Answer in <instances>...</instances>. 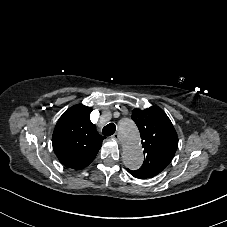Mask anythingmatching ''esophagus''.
<instances>
[{
  "label": "esophagus",
  "mask_w": 227,
  "mask_h": 227,
  "mask_svg": "<svg viewBox=\"0 0 227 227\" xmlns=\"http://www.w3.org/2000/svg\"><path fill=\"white\" fill-rule=\"evenodd\" d=\"M112 138H113L114 140H116L118 143H120V138H119V134H118V133H115V134L112 136Z\"/></svg>",
  "instance_id": "esophagus-1"
}]
</instances>
